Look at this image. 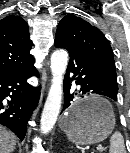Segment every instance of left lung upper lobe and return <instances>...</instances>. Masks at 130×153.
I'll return each mask as SVG.
<instances>
[{
    "instance_id": "left-lung-upper-lobe-1",
    "label": "left lung upper lobe",
    "mask_w": 130,
    "mask_h": 153,
    "mask_svg": "<svg viewBox=\"0 0 130 153\" xmlns=\"http://www.w3.org/2000/svg\"><path fill=\"white\" fill-rule=\"evenodd\" d=\"M55 39L68 44L78 55L94 61L118 87L112 48L98 28L80 17L69 14L58 24Z\"/></svg>"
}]
</instances>
